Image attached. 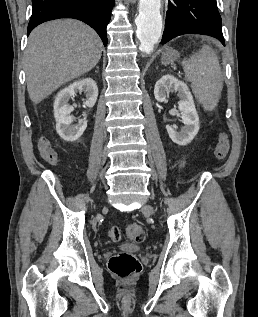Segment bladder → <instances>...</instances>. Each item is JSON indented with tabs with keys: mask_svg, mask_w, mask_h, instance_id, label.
I'll return each instance as SVG.
<instances>
[{
	"mask_svg": "<svg viewBox=\"0 0 258 317\" xmlns=\"http://www.w3.org/2000/svg\"><path fill=\"white\" fill-rule=\"evenodd\" d=\"M139 250V247L135 244H125L122 246L123 253H135Z\"/></svg>",
	"mask_w": 258,
	"mask_h": 317,
	"instance_id": "bladder-1",
	"label": "bladder"
}]
</instances>
